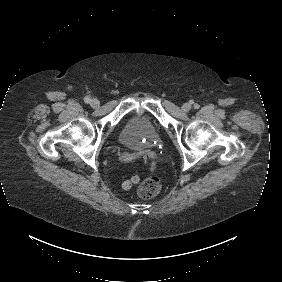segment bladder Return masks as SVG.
Returning a JSON list of instances; mask_svg holds the SVG:
<instances>
[{"label": "bladder", "mask_w": 282, "mask_h": 282, "mask_svg": "<svg viewBox=\"0 0 282 282\" xmlns=\"http://www.w3.org/2000/svg\"><path fill=\"white\" fill-rule=\"evenodd\" d=\"M119 141L129 150L146 151L158 147L161 144V136L149 116L136 113L125 121Z\"/></svg>", "instance_id": "1"}]
</instances>
